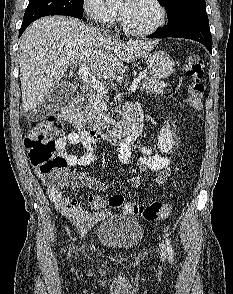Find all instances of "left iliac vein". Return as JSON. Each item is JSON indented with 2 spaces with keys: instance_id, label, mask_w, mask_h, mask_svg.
Here are the masks:
<instances>
[{
  "instance_id": "1",
  "label": "left iliac vein",
  "mask_w": 233,
  "mask_h": 294,
  "mask_svg": "<svg viewBox=\"0 0 233 294\" xmlns=\"http://www.w3.org/2000/svg\"><path fill=\"white\" fill-rule=\"evenodd\" d=\"M160 255H161L162 261H164L166 257V251L163 244H160Z\"/></svg>"
}]
</instances>
